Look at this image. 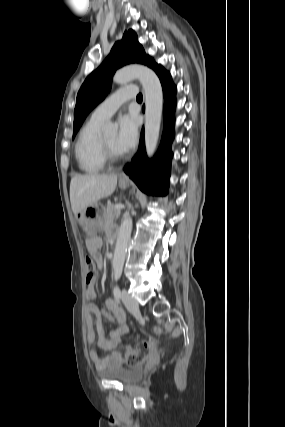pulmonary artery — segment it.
I'll return each mask as SVG.
<instances>
[{
  "mask_svg": "<svg viewBox=\"0 0 285 427\" xmlns=\"http://www.w3.org/2000/svg\"><path fill=\"white\" fill-rule=\"evenodd\" d=\"M136 94L137 88L134 85H128L115 91L97 106L91 117L101 121H106L125 101L134 98Z\"/></svg>",
  "mask_w": 285,
  "mask_h": 427,
  "instance_id": "obj_1",
  "label": "pulmonary artery"
}]
</instances>
